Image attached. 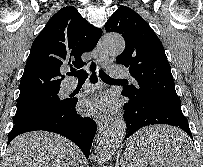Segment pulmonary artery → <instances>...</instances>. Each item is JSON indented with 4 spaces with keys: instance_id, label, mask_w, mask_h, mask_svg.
Instances as JSON below:
<instances>
[{
    "instance_id": "1",
    "label": "pulmonary artery",
    "mask_w": 203,
    "mask_h": 167,
    "mask_svg": "<svg viewBox=\"0 0 203 167\" xmlns=\"http://www.w3.org/2000/svg\"><path fill=\"white\" fill-rule=\"evenodd\" d=\"M110 72L114 77L117 78H126V77H131L128 68L120 65L112 66L110 68ZM76 84L74 82L69 83L66 88L68 91H72L75 89Z\"/></svg>"
}]
</instances>
